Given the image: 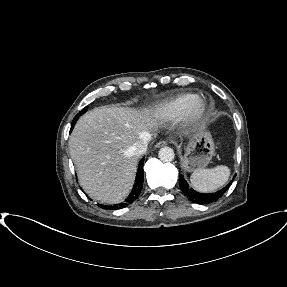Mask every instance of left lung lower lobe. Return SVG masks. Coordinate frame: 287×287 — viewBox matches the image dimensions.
I'll list each match as a JSON object with an SVG mask.
<instances>
[{
    "label": "left lung lower lobe",
    "mask_w": 287,
    "mask_h": 287,
    "mask_svg": "<svg viewBox=\"0 0 287 287\" xmlns=\"http://www.w3.org/2000/svg\"><path fill=\"white\" fill-rule=\"evenodd\" d=\"M230 185L231 183H229L226 187H224L220 191H217L216 193L203 194L196 192L195 190L190 188L183 175L179 176V186L182 192L188 197L189 200L198 204H206L217 201L220 197L223 196V194L227 191Z\"/></svg>",
    "instance_id": "1"
}]
</instances>
